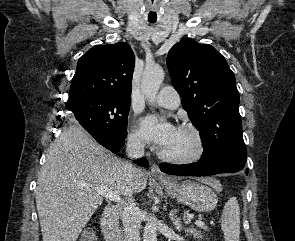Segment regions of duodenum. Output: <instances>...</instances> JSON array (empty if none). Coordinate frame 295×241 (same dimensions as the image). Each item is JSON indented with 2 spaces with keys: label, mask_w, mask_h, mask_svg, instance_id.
<instances>
[{
  "label": "duodenum",
  "mask_w": 295,
  "mask_h": 241,
  "mask_svg": "<svg viewBox=\"0 0 295 241\" xmlns=\"http://www.w3.org/2000/svg\"><path fill=\"white\" fill-rule=\"evenodd\" d=\"M101 229L107 241H124L118 228V211L114 206H107L101 218Z\"/></svg>",
  "instance_id": "410a0bca"
}]
</instances>
